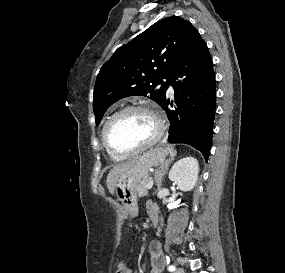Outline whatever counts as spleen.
<instances>
[{
    "instance_id": "spleen-1",
    "label": "spleen",
    "mask_w": 285,
    "mask_h": 273,
    "mask_svg": "<svg viewBox=\"0 0 285 273\" xmlns=\"http://www.w3.org/2000/svg\"><path fill=\"white\" fill-rule=\"evenodd\" d=\"M168 151L172 154V155H175V152L172 148H168Z\"/></svg>"
}]
</instances>
